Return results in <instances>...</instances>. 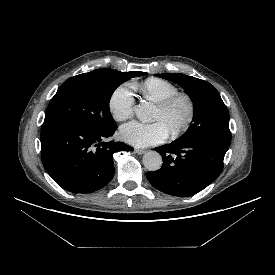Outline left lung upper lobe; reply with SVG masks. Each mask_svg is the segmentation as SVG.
<instances>
[{"label": "left lung upper lobe", "instance_id": "5c2ea615", "mask_svg": "<svg viewBox=\"0 0 275 275\" xmlns=\"http://www.w3.org/2000/svg\"><path fill=\"white\" fill-rule=\"evenodd\" d=\"M155 76L179 84L194 102L193 124L178 141H206L230 145L229 112L220 94L210 83L180 73Z\"/></svg>", "mask_w": 275, "mask_h": 275}]
</instances>
